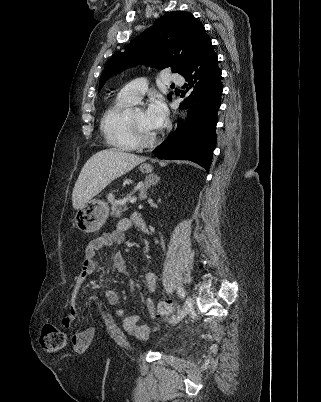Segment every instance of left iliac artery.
I'll list each match as a JSON object with an SVG mask.
<instances>
[{"label":"left iliac artery","mask_w":321,"mask_h":402,"mask_svg":"<svg viewBox=\"0 0 321 402\" xmlns=\"http://www.w3.org/2000/svg\"><path fill=\"white\" fill-rule=\"evenodd\" d=\"M178 294L180 295V297L181 298H184L185 297V290H184V288L183 287H179L178 288Z\"/></svg>","instance_id":"obj_1"}]
</instances>
